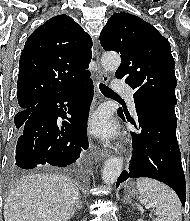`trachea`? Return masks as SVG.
I'll use <instances>...</instances> for the list:
<instances>
[{
	"mask_svg": "<svg viewBox=\"0 0 190 221\" xmlns=\"http://www.w3.org/2000/svg\"><path fill=\"white\" fill-rule=\"evenodd\" d=\"M99 88L104 95H116V93L113 90H111L109 87L102 83H100Z\"/></svg>",
	"mask_w": 190,
	"mask_h": 221,
	"instance_id": "3493384b",
	"label": "trachea"
}]
</instances>
